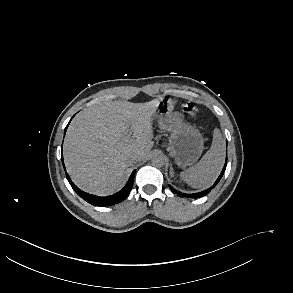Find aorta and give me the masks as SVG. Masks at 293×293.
Here are the masks:
<instances>
[{
	"label": "aorta",
	"instance_id": "aorta-1",
	"mask_svg": "<svg viewBox=\"0 0 293 293\" xmlns=\"http://www.w3.org/2000/svg\"><path fill=\"white\" fill-rule=\"evenodd\" d=\"M166 162V157L161 153H156L151 158V163L154 166L162 167Z\"/></svg>",
	"mask_w": 293,
	"mask_h": 293
}]
</instances>
